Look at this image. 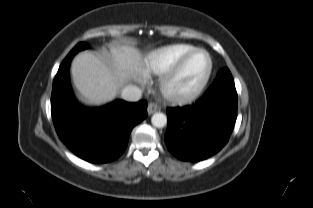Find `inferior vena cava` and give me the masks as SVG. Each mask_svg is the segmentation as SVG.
Here are the masks:
<instances>
[{"label": "inferior vena cava", "mask_w": 313, "mask_h": 208, "mask_svg": "<svg viewBox=\"0 0 313 208\" xmlns=\"http://www.w3.org/2000/svg\"><path fill=\"white\" fill-rule=\"evenodd\" d=\"M142 96V90L137 86H126L121 92V97L126 101L135 102L140 100Z\"/></svg>", "instance_id": "inferior-vena-cava-1"}]
</instances>
